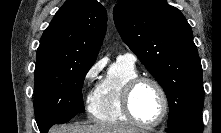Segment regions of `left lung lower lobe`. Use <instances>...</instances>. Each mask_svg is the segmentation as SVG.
<instances>
[{
	"instance_id": "obj_1",
	"label": "left lung lower lobe",
	"mask_w": 221,
	"mask_h": 133,
	"mask_svg": "<svg viewBox=\"0 0 221 133\" xmlns=\"http://www.w3.org/2000/svg\"><path fill=\"white\" fill-rule=\"evenodd\" d=\"M165 131L170 133H202V112H195L183 117L175 124L169 126Z\"/></svg>"
}]
</instances>
